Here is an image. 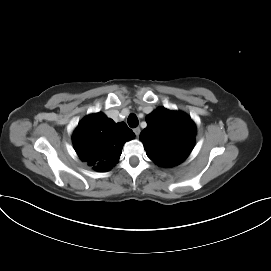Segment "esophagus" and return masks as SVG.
I'll list each match as a JSON object with an SVG mask.
<instances>
[{
	"instance_id": "esophagus-1",
	"label": "esophagus",
	"mask_w": 271,
	"mask_h": 271,
	"mask_svg": "<svg viewBox=\"0 0 271 271\" xmlns=\"http://www.w3.org/2000/svg\"><path fill=\"white\" fill-rule=\"evenodd\" d=\"M133 131H134L135 135L138 137L141 130H140L139 127H136V128L133 129Z\"/></svg>"
}]
</instances>
